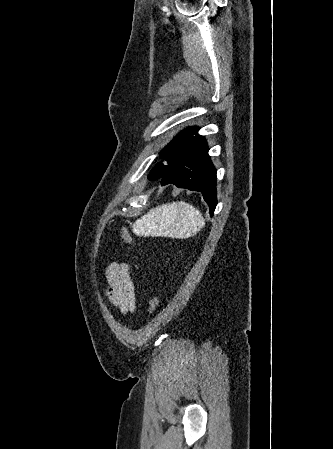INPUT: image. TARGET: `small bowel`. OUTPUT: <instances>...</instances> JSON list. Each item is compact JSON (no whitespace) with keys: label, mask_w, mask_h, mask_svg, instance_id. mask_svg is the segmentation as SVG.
<instances>
[{"label":"small bowel","mask_w":333,"mask_h":449,"mask_svg":"<svg viewBox=\"0 0 333 449\" xmlns=\"http://www.w3.org/2000/svg\"><path fill=\"white\" fill-rule=\"evenodd\" d=\"M107 295L110 303L123 314L135 309V286L130 268L126 264L111 263L106 270Z\"/></svg>","instance_id":"obj_1"}]
</instances>
